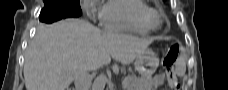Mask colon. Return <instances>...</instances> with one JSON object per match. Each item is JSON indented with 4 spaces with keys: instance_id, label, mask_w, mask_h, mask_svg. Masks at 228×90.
I'll use <instances>...</instances> for the list:
<instances>
[{
    "instance_id": "1",
    "label": "colon",
    "mask_w": 228,
    "mask_h": 90,
    "mask_svg": "<svg viewBox=\"0 0 228 90\" xmlns=\"http://www.w3.org/2000/svg\"><path fill=\"white\" fill-rule=\"evenodd\" d=\"M179 54V47L177 44H171L164 55L163 64L168 79V86L171 90H180L176 74L174 72V63Z\"/></svg>"
}]
</instances>
